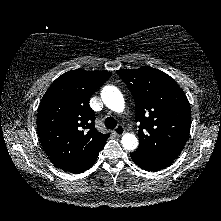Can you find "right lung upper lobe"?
<instances>
[{
	"label": "right lung upper lobe",
	"instance_id": "obj_1",
	"mask_svg": "<svg viewBox=\"0 0 221 221\" xmlns=\"http://www.w3.org/2000/svg\"><path fill=\"white\" fill-rule=\"evenodd\" d=\"M110 76L105 71L66 72L50 85L40 102L37 128L41 144L53 164L65 172L85 164L109 137L96 130L89 100Z\"/></svg>",
	"mask_w": 221,
	"mask_h": 221
}]
</instances>
